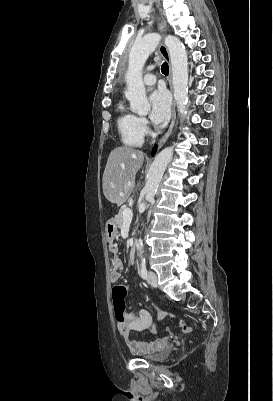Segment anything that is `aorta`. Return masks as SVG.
I'll return each instance as SVG.
<instances>
[{
	"label": "aorta",
	"instance_id": "762f6f07",
	"mask_svg": "<svg viewBox=\"0 0 273 401\" xmlns=\"http://www.w3.org/2000/svg\"><path fill=\"white\" fill-rule=\"evenodd\" d=\"M161 37L159 34H147L136 41L129 54V65L126 73L127 91L126 98L130 102L132 112L146 115L150 109L146 97V90L142 80V70L149 55L156 49ZM165 45L168 47L171 66L174 98L178 111L183 119H186L188 104V58L187 52L181 41L175 36L165 37ZM173 147H166L154 159L144 187L145 199L148 202L154 200L162 176L171 161ZM139 255L143 254V241H137Z\"/></svg>",
	"mask_w": 273,
	"mask_h": 401
}]
</instances>
